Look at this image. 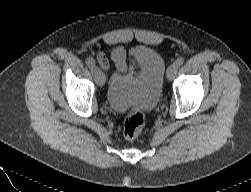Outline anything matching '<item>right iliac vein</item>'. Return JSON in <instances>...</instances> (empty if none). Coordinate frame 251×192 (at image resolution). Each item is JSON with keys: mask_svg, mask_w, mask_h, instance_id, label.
Instances as JSON below:
<instances>
[{"mask_svg": "<svg viewBox=\"0 0 251 192\" xmlns=\"http://www.w3.org/2000/svg\"><path fill=\"white\" fill-rule=\"evenodd\" d=\"M92 74L97 85L102 87L105 83V76L103 72L97 66H94V68L92 69Z\"/></svg>", "mask_w": 251, "mask_h": 192, "instance_id": "right-iliac-vein-1", "label": "right iliac vein"}]
</instances>
